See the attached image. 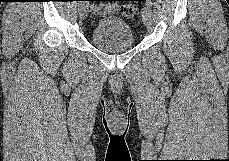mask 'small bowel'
<instances>
[{
    "label": "small bowel",
    "mask_w": 229,
    "mask_h": 161,
    "mask_svg": "<svg viewBox=\"0 0 229 161\" xmlns=\"http://www.w3.org/2000/svg\"><path fill=\"white\" fill-rule=\"evenodd\" d=\"M117 10H118V6L116 4H111L103 12L104 13H115Z\"/></svg>",
    "instance_id": "c3829d8e"
}]
</instances>
